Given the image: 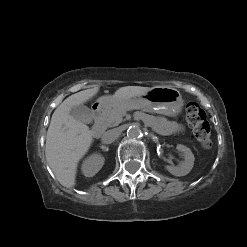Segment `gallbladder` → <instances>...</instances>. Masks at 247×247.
Here are the masks:
<instances>
[{
    "instance_id": "obj_1",
    "label": "gallbladder",
    "mask_w": 247,
    "mask_h": 247,
    "mask_svg": "<svg viewBox=\"0 0 247 247\" xmlns=\"http://www.w3.org/2000/svg\"><path fill=\"white\" fill-rule=\"evenodd\" d=\"M70 115L77 121L83 123L89 124L92 122L91 110L87 106L82 104L73 106L70 110Z\"/></svg>"
}]
</instances>
